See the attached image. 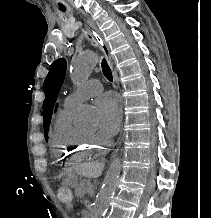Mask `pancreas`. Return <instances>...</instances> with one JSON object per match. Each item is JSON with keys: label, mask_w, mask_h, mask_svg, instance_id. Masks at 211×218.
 <instances>
[{"label": "pancreas", "mask_w": 211, "mask_h": 218, "mask_svg": "<svg viewBox=\"0 0 211 218\" xmlns=\"http://www.w3.org/2000/svg\"><path fill=\"white\" fill-rule=\"evenodd\" d=\"M85 189H86V188H81V190H77V191H76V194H77V195H87Z\"/></svg>", "instance_id": "cf45deb5"}]
</instances>
